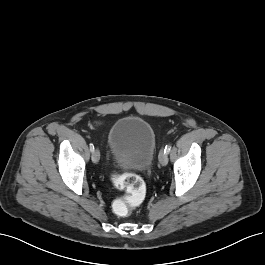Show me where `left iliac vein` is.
<instances>
[{
  "label": "left iliac vein",
  "mask_w": 265,
  "mask_h": 265,
  "mask_svg": "<svg viewBox=\"0 0 265 265\" xmlns=\"http://www.w3.org/2000/svg\"><path fill=\"white\" fill-rule=\"evenodd\" d=\"M159 162L162 166H166L168 164V156L164 151L159 153Z\"/></svg>",
  "instance_id": "1"
}]
</instances>
